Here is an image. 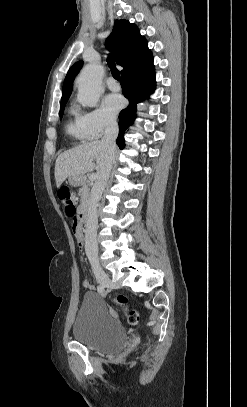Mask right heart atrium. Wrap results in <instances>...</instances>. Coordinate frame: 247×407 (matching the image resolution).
Masks as SVG:
<instances>
[{
  "label": "right heart atrium",
  "instance_id": "obj_1",
  "mask_svg": "<svg viewBox=\"0 0 247 407\" xmlns=\"http://www.w3.org/2000/svg\"><path fill=\"white\" fill-rule=\"evenodd\" d=\"M80 122L90 140L99 138L116 124L115 119L111 115L98 107L81 112Z\"/></svg>",
  "mask_w": 247,
  "mask_h": 407
}]
</instances>
